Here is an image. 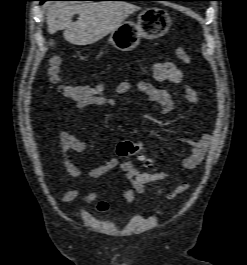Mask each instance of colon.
<instances>
[{"label":"colon","instance_id":"5ec220e1","mask_svg":"<svg viewBox=\"0 0 247 265\" xmlns=\"http://www.w3.org/2000/svg\"><path fill=\"white\" fill-rule=\"evenodd\" d=\"M176 57L182 63H189L191 58L185 47H177ZM60 57L52 58L48 69L50 81L54 84L60 81ZM59 93L66 99L75 103H82L85 106L106 105L109 95L103 85H59ZM116 155L121 158L137 157L146 167L152 168L156 166V157L140 142L130 140L121 141L116 147ZM189 188L188 184L179 186L170 194V198L174 199L186 192Z\"/></svg>","mask_w":247,"mask_h":265}]
</instances>
